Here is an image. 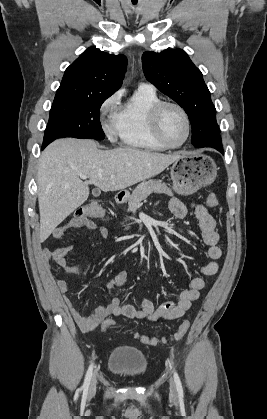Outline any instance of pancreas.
Here are the masks:
<instances>
[{"mask_svg": "<svg viewBox=\"0 0 267 419\" xmlns=\"http://www.w3.org/2000/svg\"><path fill=\"white\" fill-rule=\"evenodd\" d=\"M164 193L166 195H172V191L167 185L161 180L151 179L140 183L128 200V210L135 213L141 206V202L145 200L151 193ZM129 226L126 227L128 229Z\"/></svg>", "mask_w": 267, "mask_h": 419, "instance_id": "obj_1", "label": "pancreas"}]
</instances>
